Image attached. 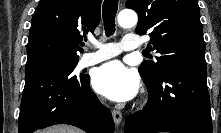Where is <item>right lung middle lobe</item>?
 Masks as SVG:
<instances>
[{"mask_svg": "<svg viewBox=\"0 0 221 133\" xmlns=\"http://www.w3.org/2000/svg\"><path fill=\"white\" fill-rule=\"evenodd\" d=\"M78 62H73V63H65V64H56V65H50L48 67H58L59 69L63 70L64 72L70 74L73 78H79L75 75L72 74L74 71L76 65ZM47 68V67H46ZM81 77V76H80Z\"/></svg>", "mask_w": 221, "mask_h": 133, "instance_id": "1", "label": "right lung middle lobe"}]
</instances>
